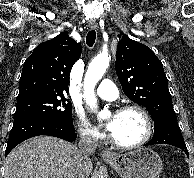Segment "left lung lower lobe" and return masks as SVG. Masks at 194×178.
<instances>
[{"instance_id":"obj_1","label":"left lung lower lobe","mask_w":194,"mask_h":178,"mask_svg":"<svg viewBox=\"0 0 194 178\" xmlns=\"http://www.w3.org/2000/svg\"><path fill=\"white\" fill-rule=\"evenodd\" d=\"M155 132L153 138L145 144H170L182 149L187 156L188 150L183 140L176 115H166L154 120Z\"/></svg>"}]
</instances>
